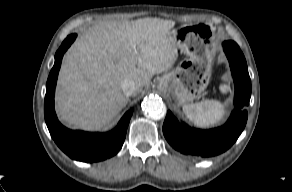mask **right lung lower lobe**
Segmentation results:
<instances>
[{"instance_id": "98d812e1", "label": "right lung lower lobe", "mask_w": 292, "mask_h": 192, "mask_svg": "<svg viewBox=\"0 0 292 192\" xmlns=\"http://www.w3.org/2000/svg\"><path fill=\"white\" fill-rule=\"evenodd\" d=\"M75 38L76 34L67 36L55 54V63L46 84L45 121L55 143L70 158L83 162H97L112 157L121 149L133 111L126 112L115 129L107 133L72 131L61 125L54 110L55 86L63 54Z\"/></svg>"}]
</instances>
